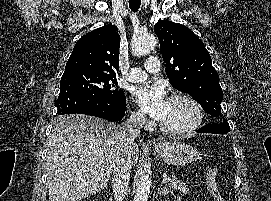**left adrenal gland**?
I'll use <instances>...</instances> for the list:
<instances>
[{
	"label": "left adrenal gland",
	"instance_id": "left-adrenal-gland-1",
	"mask_svg": "<svg viewBox=\"0 0 271 201\" xmlns=\"http://www.w3.org/2000/svg\"><path fill=\"white\" fill-rule=\"evenodd\" d=\"M157 191H158V194H159V195H167V194H171V191L168 190L167 187L161 188V189L158 188Z\"/></svg>",
	"mask_w": 271,
	"mask_h": 201
}]
</instances>
